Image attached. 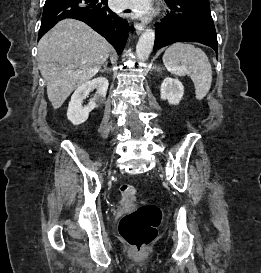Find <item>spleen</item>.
I'll use <instances>...</instances> for the list:
<instances>
[{
	"label": "spleen",
	"instance_id": "obj_1",
	"mask_svg": "<svg viewBox=\"0 0 261 273\" xmlns=\"http://www.w3.org/2000/svg\"><path fill=\"white\" fill-rule=\"evenodd\" d=\"M162 59L173 75L191 78L197 100L207 95L212 83V67L202 49L188 43H176L165 51Z\"/></svg>",
	"mask_w": 261,
	"mask_h": 273
}]
</instances>
